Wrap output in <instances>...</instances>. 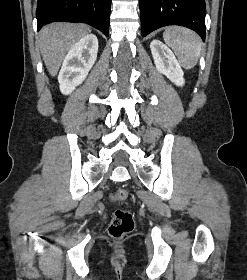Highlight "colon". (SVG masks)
Returning <instances> with one entry per match:
<instances>
[{"mask_svg": "<svg viewBox=\"0 0 247 280\" xmlns=\"http://www.w3.org/2000/svg\"><path fill=\"white\" fill-rule=\"evenodd\" d=\"M129 196L126 189L120 188L115 191L113 199L115 202H123ZM135 226L133 213L125 208H119L113 213L110 225L109 233L115 238H120L132 232Z\"/></svg>", "mask_w": 247, "mask_h": 280, "instance_id": "1", "label": "colon"}]
</instances>
